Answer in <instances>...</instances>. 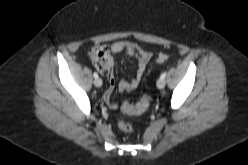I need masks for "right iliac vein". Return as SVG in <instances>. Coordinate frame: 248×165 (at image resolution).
<instances>
[{
    "instance_id": "63e3f726",
    "label": "right iliac vein",
    "mask_w": 248,
    "mask_h": 165,
    "mask_svg": "<svg viewBox=\"0 0 248 165\" xmlns=\"http://www.w3.org/2000/svg\"><path fill=\"white\" fill-rule=\"evenodd\" d=\"M94 85L96 86V87H101L102 86V80L100 79V78H96L95 80H94Z\"/></svg>"
}]
</instances>
